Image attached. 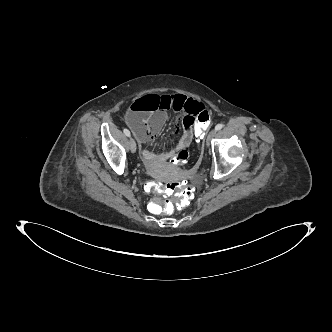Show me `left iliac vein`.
<instances>
[{
    "instance_id": "left-iliac-vein-1",
    "label": "left iliac vein",
    "mask_w": 332,
    "mask_h": 332,
    "mask_svg": "<svg viewBox=\"0 0 332 332\" xmlns=\"http://www.w3.org/2000/svg\"><path fill=\"white\" fill-rule=\"evenodd\" d=\"M216 135V130L213 129L209 132V134L207 135V138H206V145L209 146L212 138Z\"/></svg>"
}]
</instances>
